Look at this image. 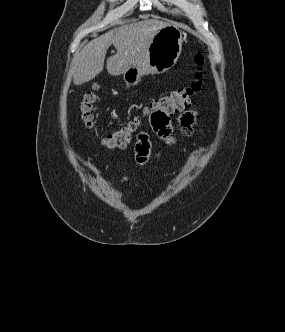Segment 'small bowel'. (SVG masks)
Masks as SVG:
<instances>
[{
	"instance_id": "c3829d8e",
	"label": "small bowel",
	"mask_w": 285,
	"mask_h": 332,
	"mask_svg": "<svg viewBox=\"0 0 285 332\" xmlns=\"http://www.w3.org/2000/svg\"><path fill=\"white\" fill-rule=\"evenodd\" d=\"M175 111H149L148 112V126H152V133H157L165 140L171 139V122H174ZM195 119L194 111H187L181 117V125L185 132L192 129ZM135 158L138 165H144L151 155V142L147 133L139 134L134 147ZM128 181L127 177H123Z\"/></svg>"
}]
</instances>
